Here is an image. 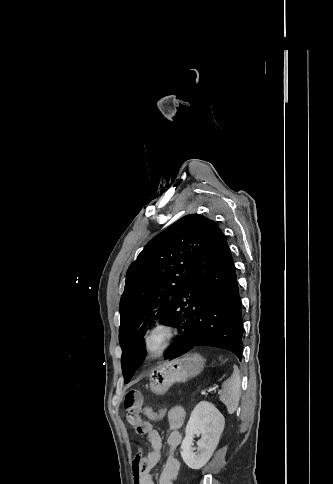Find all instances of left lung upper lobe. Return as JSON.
<instances>
[{
  "instance_id": "5c2ea615",
  "label": "left lung upper lobe",
  "mask_w": 333,
  "mask_h": 484,
  "mask_svg": "<svg viewBox=\"0 0 333 484\" xmlns=\"http://www.w3.org/2000/svg\"><path fill=\"white\" fill-rule=\"evenodd\" d=\"M212 220L190 214L151 239L129 266L120 299L119 342L124 382L128 383L146 356L144 335L154 319H162Z\"/></svg>"
}]
</instances>
